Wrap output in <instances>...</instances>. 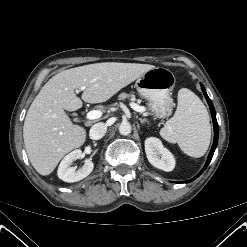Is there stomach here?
<instances>
[{"instance_id": "1", "label": "stomach", "mask_w": 247, "mask_h": 247, "mask_svg": "<svg viewBox=\"0 0 247 247\" xmlns=\"http://www.w3.org/2000/svg\"><path fill=\"white\" fill-rule=\"evenodd\" d=\"M175 81L174 74L163 67L150 69L137 79L136 89L148 101L154 117L165 118L171 115L174 106L171 91Z\"/></svg>"}]
</instances>
